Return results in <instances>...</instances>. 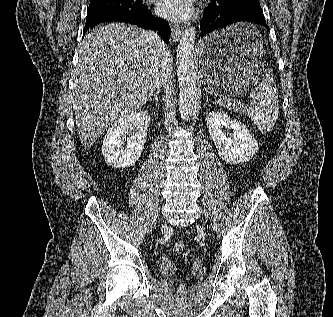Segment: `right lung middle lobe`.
Segmentation results:
<instances>
[{"label":"right lung middle lobe","instance_id":"1","mask_svg":"<svg viewBox=\"0 0 333 317\" xmlns=\"http://www.w3.org/2000/svg\"><path fill=\"white\" fill-rule=\"evenodd\" d=\"M141 4L134 0H90L88 13L101 10H129L139 8Z\"/></svg>","mask_w":333,"mask_h":317}]
</instances>
